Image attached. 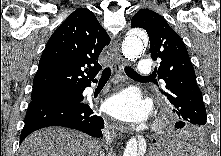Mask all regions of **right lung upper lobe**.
Returning <instances> with one entry per match:
<instances>
[{
	"mask_svg": "<svg viewBox=\"0 0 221 156\" xmlns=\"http://www.w3.org/2000/svg\"><path fill=\"white\" fill-rule=\"evenodd\" d=\"M110 38L93 12L75 10L52 34L33 80L32 101L82 91L96 81L98 56Z\"/></svg>",
	"mask_w": 221,
	"mask_h": 156,
	"instance_id": "obj_1",
	"label": "right lung upper lobe"
}]
</instances>
